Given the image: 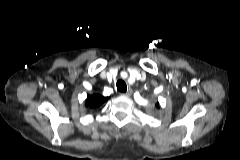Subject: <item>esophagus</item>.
Segmentation results:
<instances>
[{
	"mask_svg": "<svg viewBox=\"0 0 240 160\" xmlns=\"http://www.w3.org/2000/svg\"><path fill=\"white\" fill-rule=\"evenodd\" d=\"M123 95L129 97V96H131V92H130V91H129V92H126V93H124Z\"/></svg>",
	"mask_w": 240,
	"mask_h": 160,
	"instance_id": "obj_1",
	"label": "esophagus"
}]
</instances>
